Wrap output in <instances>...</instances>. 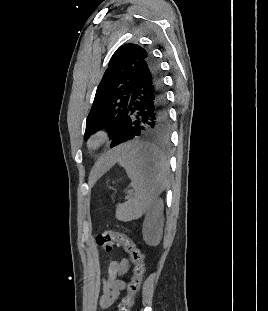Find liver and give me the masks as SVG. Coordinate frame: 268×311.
<instances>
[{"label": "liver", "mask_w": 268, "mask_h": 311, "mask_svg": "<svg viewBox=\"0 0 268 311\" xmlns=\"http://www.w3.org/2000/svg\"><path fill=\"white\" fill-rule=\"evenodd\" d=\"M118 154L119 148L107 152L94 167L92 171L93 175L97 176L111 168L116 163Z\"/></svg>", "instance_id": "6515ba94"}]
</instances>
